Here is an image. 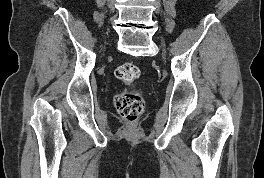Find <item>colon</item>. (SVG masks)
<instances>
[{
	"instance_id": "1",
	"label": "colon",
	"mask_w": 264,
	"mask_h": 178,
	"mask_svg": "<svg viewBox=\"0 0 264 178\" xmlns=\"http://www.w3.org/2000/svg\"><path fill=\"white\" fill-rule=\"evenodd\" d=\"M117 79L126 85H133L140 76V69L132 62H125L115 70ZM115 107L119 114L129 122H134L141 115L144 101L136 90H125L115 96Z\"/></svg>"
}]
</instances>
